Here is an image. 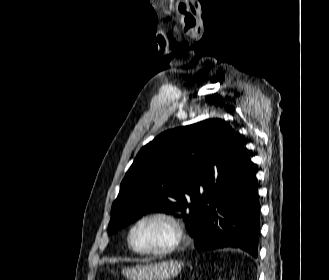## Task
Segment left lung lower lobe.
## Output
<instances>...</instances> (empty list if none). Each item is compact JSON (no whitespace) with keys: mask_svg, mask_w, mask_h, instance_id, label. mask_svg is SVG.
<instances>
[{"mask_svg":"<svg viewBox=\"0 0 329 280\" xmlns=\"http://www.w3.org/2000/svg\"><path fill=\"white\" fill-rule=\"evenodd\" d=\"M229 184L203 201L200 223L194 236L197 249L239 248L258 256V194L254 165L244 147Z\"/></svg>","mask_w":329,"mask_h":280,"instance_id":"obj_1","label":"left lung lower lobe"}]
</instances>
